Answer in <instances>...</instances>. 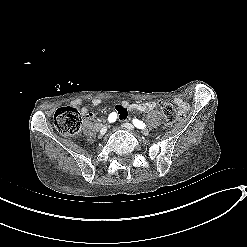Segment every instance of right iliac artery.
Segmentation results:
<instances>
[{
    "mask_svg": "<svg viewBox=\"0 0 247 247\" xmlns=\"http://www.w3.org/2000/svg\"><path fill=\"white\" fill-rule=\"evenodd\" d=\"M116 119H117V114H116L115 112H112V113L109 115V117H108V121H109L110 123L116 121Z\"/></svg>",
    "mask_w": 247,
    "mask_h": 247,
    "instance_id": "82829eb1",
    "label": "right iliac artery"
}]
</instances>
